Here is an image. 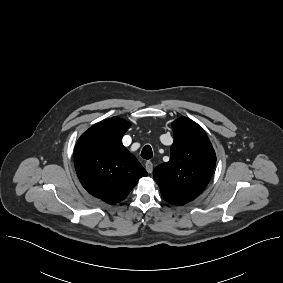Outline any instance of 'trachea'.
Wrapping results in <instances>:
<instances>
[{"label": "trachea", "mask_w": 283, "mask_h": 283, "mask_svg": "<svg viewBox=\"0 0 283 283\" xmlns=\"http://www.w3.org/2000/svg\"><path fill=\"white\" fill-rule=\"evenodd\" d=\"M141 157L148 160L153 157L152 148L150 145H146L141 151Z\"/></svg>", "instance_id": "trachea-1"}]
</instances>
